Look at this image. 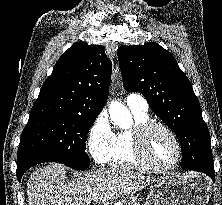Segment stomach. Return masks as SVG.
<instances>
[{
    "mask_svg": "<svg viewBox=\"0 0 222 205\" xmlns=\"http://www.w3.org/2000/svg\"><path fill=\"white\" fill-rule=\"evenodd\" d=\"M211 186L205 178L193 173H183L158 180L149 194L145 205H207ZM132 205L133 198L125 199Z\"/></svg>",
    "mask_w": 222,
    "mask_h": 205,
    "instance_id": "stomach-1",
    "label": "stomach"
}]
</instances>
